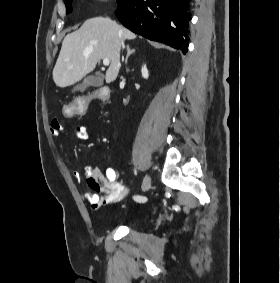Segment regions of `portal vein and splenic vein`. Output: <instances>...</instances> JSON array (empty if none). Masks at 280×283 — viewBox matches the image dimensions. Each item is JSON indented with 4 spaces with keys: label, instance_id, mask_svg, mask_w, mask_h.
Instances as JSON below:
<instances>
[{
    "label": "portal vein and splenic vein",
    "instance_id": "obj_1",
    "mask_svg": "<svg viewBox=\"0 0 280 283\" xmlns=\"http://www.w3.org/2000/svg\"><path fill=\"white\" fill-rule=\"evenodd\" d=\"M109 63H110L109 59H103V64H104L105 66H108Z\"/></svg>",
    "mask_w": 280,
    "mask_h": 283
}]
</instances>
